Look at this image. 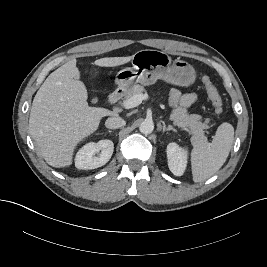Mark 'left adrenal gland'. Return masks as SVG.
I'll list each match as a JSON object with an SVG mask.
<instances>
[{
    "mask_svg": "<svg viewBox=\"0 0 267 267\" xmlns=\"http://www.w3.org/2000/svg\"><path fill=\"white\" fill-rule=\"evenodd\" d=\"M160 128L162 129V133H164L165 131H170V130L176 132V130L171 125L166 126L165 124H163V126H161Z\"/></svg>",
    "mask_w": 267,
    "mask_h": 267,
    "instance_id": "1",
    "label": "left adrenal gland"
}]
</instances>
